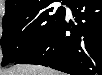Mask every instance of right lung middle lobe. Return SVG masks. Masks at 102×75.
<instances>
[{
  "mask_svg": "<svg viewBox=\"0 0 102 75\" xmlns=\"http://www.w3.org/2000/svg\"><path fill=\"white\" fill-rule=\"evenodd\" d=\"M54 2L4 15L1 66L16 62L29 54L64 19L65 8L60 6L54 9ZM63 4L67 5L68 2Z\"/></svg>",
  "mask_w": 102,
  "mask_h": 75,
  "instance_id": "obj_1",
  "label": "right lung middle lobe"
}]
</instances>
